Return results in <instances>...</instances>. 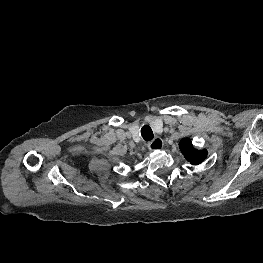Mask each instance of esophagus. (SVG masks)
Masks as SVG:
<instances>
[{
  "mask_svg": "<svg viewBox=\"0 0 263 263\" xmlns=\"http://www.w3.org/2000/svg\"><path fill=\"white\" fill-rule=\"evenodd\" d=\"M164 146V142L160 137L155 138L148 144V149L150 151L160 150Z\"/></svg>",
  "mask_w": 263,
  "mask_h": 263,
  "instance_id": "esophagus-1",
  "label": "esophagus"
}]
</instances>
